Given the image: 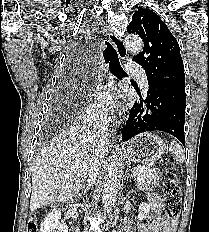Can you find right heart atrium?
Segmentation results:
<instances>
[{
  "label": "right heart atrium",
  "mask_w": 209,
  "mask_h": 232,
  "mask_svg": "<svg viewBox=\"0 0 209 232\" xmlns=\"http://www.w3.org/2000/svg\"><path fill=\"white\" fill-rule=\"evenodd\" d=\"M81 120L88 125H97L103 121V114L95 104H87L81 114Z\"/></svg>",
  "instance_id": "obj_1"
}]
</instances>
